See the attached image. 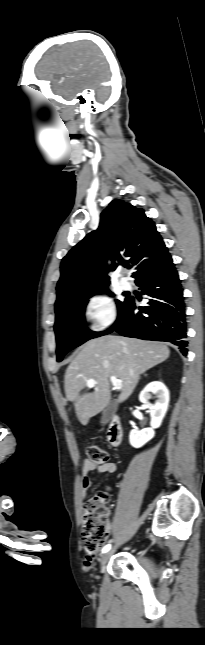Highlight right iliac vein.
I'll return each mask as SVG.
<instances>
[{
  "label": "right iliac vein",
  "instance_id": "right-iliac-vein-1",
  "mask_svg": "<svg viewBox=\"0 0 205 645\" xmlns=\"http://www.w3.org/2000/svg\"><path fill=\"white\" fill-rule=\"evenodd\" d=\"M114 552L115 548L102 555V557L100 558V565L103 566L104 564H106V562L110 559Z\"/></svg>",
  "mask_w": 205,
  "mask_h": 645
}]
</instances>
